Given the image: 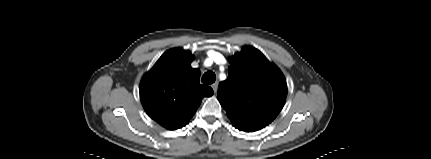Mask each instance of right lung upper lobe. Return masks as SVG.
<instances>
[{
    "instance_id": "obj_1",
    "label": "right lung upper lobe",
    "mask_w": 431,
    "mask_h": 159,
    "mask_svg": "<svg viewBox=\"0 0 431 159\" xmlns=\"http://www.w3.org/2000/svg\"><path fill=\"white\" fill-rule=\"evenodd\" d=\"M189 51H166L140 83V99L146 113L163 127L174 130L185 126L202 98L213 90L199 83L200 71L190 64Z\"/></svg>"
}]
</instances>
